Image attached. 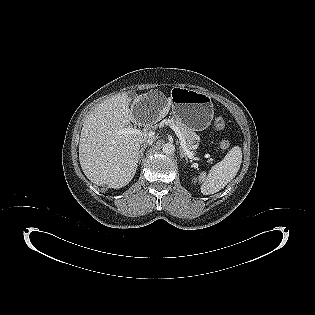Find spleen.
Listing matches in <instances>:
<instances>
[{
	"mask_svg": "<svg viewBox=\"0 0 315 315\" xmlns=\"http://www.w3.org/2000/svg\"><path fill=\"white\" fill-rule=\"evenodd\" d=\"M241 163V148L234 146L221 162L212 166L208 174L204 171L200 173L201 193L209 195L223 189L236 176Z\"/></svg>",
	"mask_w": 315,
	"mask_h": 315,
	"instance_id": "obj_1",
	"label": "spleen"
}]
</instances>
